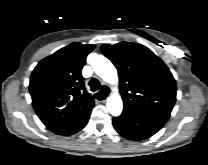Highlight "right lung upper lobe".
Here are the masks:
<instances>
[{
  "label": "right lung upper lobe",
  "instance_id": "cb5924a9",
  "mask_svg": "<svg viewBox=\"0 0 208 165\" xmlns=\"http://www.w3.org/2000/svg\"><path fill=\"white\" fill-rule=\"evenodd\" d=\"M94 47L71 43L41 60L32 72L29 90L33 107L55 134H75L89 119L94 100L85 90L82 68Z\"/></svg>",
  "mask_w": 208,
  "mask_h": 165
}]
</instances>
